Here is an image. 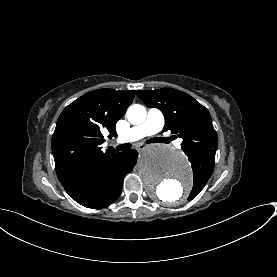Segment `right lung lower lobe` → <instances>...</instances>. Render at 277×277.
Instances as JSON below:
<instances>
[{"instance_id":"1","label":"right lung lower lobe","mask_w":277,"mask_h":277,"mask_svg":"<svg viewBox=\"0 0 277 277\" xmlns=\"http://www.w3.org/2000/svg\"><path fill=\"white\" fill-rule=\"evenodd\" d=\"M137 152H117L100 160L64 184L66 192L87 208H102L114 203L122 192L123 180L133 170Z\"/></svg>"}]
</instances>
